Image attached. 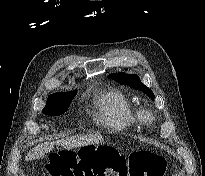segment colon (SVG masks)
<instances>
[{
    "instance_id": "5ec220e1",
    "label": "colon",
    "mask_w": 205,
    "mask_h": 176,
    "mask_svg": "<svg viewBox=\"0 0 205 176\" xmlns=\"http://www.w3.org/2000/svg\"><path fill=\"white\" fill-rule=\"evenodd\" d=\"M51 176H164L166 162L151 150L130 154L128 161L103 148L59 151L49 155Z\"/></svg>"
}]
</instances>
